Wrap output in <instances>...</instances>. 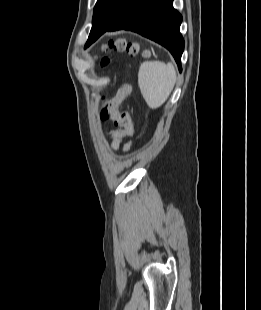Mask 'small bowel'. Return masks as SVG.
I'll return each mask as SVG.
<instances>
[{"label": "small bowel", "instance_id": "c3829d8e", "mask_svg": "<svg viewBox=\"0 0 261 310\" xmlns=\"http://www.w3.org/2000/svg\"><path fill=\"white\" fill-rule=\"evenodd\" d=\"M120 143H121L120 139H119V138H115V140H114V142H113V147H114L115 149L119 148ZM128 147H129V144H125V145H124V148H125V149H127Z\"/></svg>", "mask_w": 261, "mask_h": 310}]
</instances>
